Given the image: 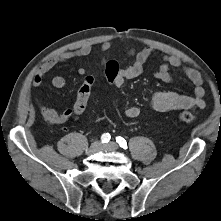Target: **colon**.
Returning <instances> with one entry per match:
<instances>
[{"mask_svg":"<svg viewBox=\"0 0 221 221\" xmlns=\"http://www.w3.org/2000/svg\"><path fill=\"white\" fill-rule=\"evenodd\" d=\"M104 66L106 70H104L101 74L103 81L108 84L114 83L119 74L118 62L115 59L111 58L105 62ZM93 84L94 77L91 75H87L77 92L76 101L74 104L75 115H80L84 112L91 95ZM178 118L182 123L191 124L196 120L197 117L195 114L189 111H183L179 114Z\"/></svg>","mask_w":221,"mask_h":221,"instance_id":"obj_1","label":"colon"}]
</instances>
